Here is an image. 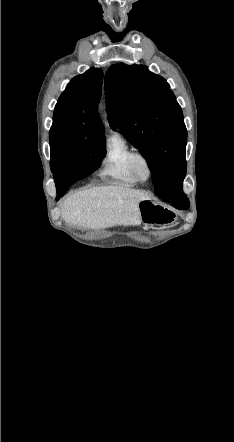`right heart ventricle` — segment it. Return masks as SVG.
I'll list each match as a JSON object with an SVG mask.
<instances>
[{
    "mask_svg": "<svg viewBox=\"0 0 234 442\" xmlns=\"http://www.w3.org/2000/svg\"><path fill=\"white\" fill-rule=\"evenodd\" d=\"M133 151V147L121 133L111 134L106 142L99 175L117 184L136 185L138 181L129 168V157Z\"/></svg>",
    "mask_w": 234,
    "mask_h": 442,
    "instance_id": "e07e8e85",
    "label": "right heart ventricle"
}]
</instances>
